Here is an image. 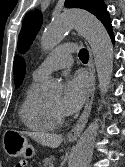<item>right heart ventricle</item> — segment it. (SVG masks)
<instances>
[{
  "instance_id": "e07e8e85",
  "label": "right heart ventricle",
  "mask_w": 125,
  "mask_h": 167,
  "mask_svg": "<svg viewBox=\"0 0 125 167\" xmlns=\"http://www.w3.org/2000/svg\"><path fill=\"white\" fill-rule=\"evenodd\" d=\"M42 79L33 78L29 85L18 115L21 123L29 130L46 133L55 129L56 123L49 113L46 102L39 95V85Z\"/></svg>"
}]
</instances>
